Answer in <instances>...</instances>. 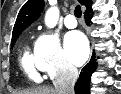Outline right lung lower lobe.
Masks as SVG:
<instances>
[{
  "label": "right lung lower lobe",
  "mask_w": 121,
  "mask_h": 94,
  "mask_svg": "<svg viewBox=\"0 0 121 94\" xmlns=\"http://www.w3.org/2000/svg\"><path fill=\"white\" fill-rule=\"evenodd\" d=\"M93 16L92 8L86 10L84 13L85 22L87 25H90L91 18ZM97 63L95 62V53H93L90 62L82 69L79 79L75 84V92L76 94H89V82L91 78V74L96 69Z\"/></svg>",
  "instance_id": "obj_1"
}]
</instances>
